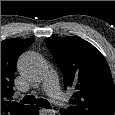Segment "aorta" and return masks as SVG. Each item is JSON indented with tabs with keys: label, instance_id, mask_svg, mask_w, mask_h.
Masks as SVG:
<instances>
[{
	"label": "aorta",
	"instance_id": "762f6f07",
	"mask_svg": "<svg viewBox=\"0 0 115 115\" xmlns=\"http://www.w3.org/2000/svg\"><path fill=\"white\" fill-rule=\"evenodd\" d=\"M18 68L28 79L40 81L46 71V63L38 53L27 52L21 56Z\"/></svg>",
	"mask_w": 115,
	"mask_h": 115
}]
</instances>
